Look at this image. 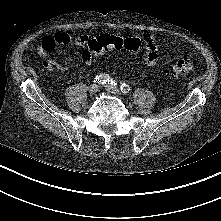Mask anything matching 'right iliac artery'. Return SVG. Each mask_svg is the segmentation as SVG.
Here are the masks:
<instances>
[{
  "label": "right iliac artery",
  "instance_id": "right-iliac-artery-1",
  "mask_svg": "<svg viewBox=\"0 0 221 221\" xmlns=\"http://www.w3.org/2000/svg\"><path fill=\"white\" fill-rule=\"evenodd\" d=\"M94 82L99 84H106V83H112L113 81L108 74H100L94 78Z\"/></svg>",
  "mask_w": 221,
  "mask_h": 221
}]
</instances>
